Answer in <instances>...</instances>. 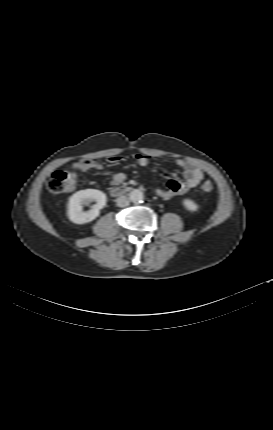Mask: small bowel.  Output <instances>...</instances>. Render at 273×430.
<instances>
[{
	"label": "small bowel",
	"mask_w": 273,
	"mask_h": 430,
	"mask_svg": "<svg viewBox=\"0 0 273 430\" xmlns=\"http://www.w3.org/2000/svg\"><path fill=\"white\" fill-rule=\"evenodd\" d=\"M135 158L136 162L142 167L147 166L150 162V157L145 154H138ZM121 160L122 158L120 156H111L107 159V161L111 164H117ZM176 164L182 169L184 180H178L173 173H165V176L167 177L166 188H155V194L163 200H169L195 188L204 177V173L201 168L196 167L183 159H177ZM74 165L80 166L81 170L90 167H96L98 169L101 168L99 160L94 158L78 159L74 162ZM124 181L125 175L123 173H116L113 175V184L118 185Z\"/></svg>",
	"instance_id": "obj_1"
}]
</instances>
